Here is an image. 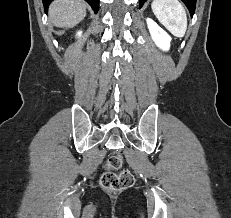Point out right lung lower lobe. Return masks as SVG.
I'll return each instance as SVG.
<instances>
[{
    "label": "right lung lower lobe",
    "mask_w": 231,
    "mask_h": 218,
    "mask_svg": "<svg viewBox=\"0 0 231 218\" xmlns=\"http://www.w3.org/2000/svg\"><path fill=\"white\" fill-rule=\"evenodd\" d=\"M43 4L45 6V10H47L49 3L53 0H42ZM87 1L90 6L92 7V9L94 10L95 13H97L98 9H99V0H85Z\"/></svg>",
    "instance_id": "98d812e1"
}]
</instances>
